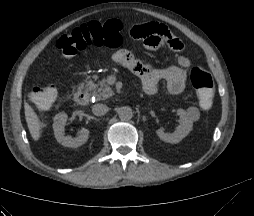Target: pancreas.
Returning a JSON list of instances; mask_svg holds the SVG:
<instances>
[{
    "mask_svg": "<svg viewBox=\"0 0 254 216\" xmlns=\"http://www.w3.org/2000/svg\"><path fill=\"white\" fill-rule=\"evenodd\" d=\"M87 87L93 92V96H95L98 101L105 100L113 95V91L108 86L105 79L100 81L98 84L90 81L88 82Z\"/></svg>",
    "mask_w": 254,
    "mask_h": 216,
    "instance_id": "pancreas-1",
    "label": "pancreas"
}]
</instances>
